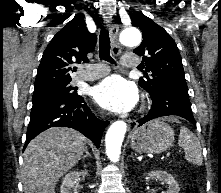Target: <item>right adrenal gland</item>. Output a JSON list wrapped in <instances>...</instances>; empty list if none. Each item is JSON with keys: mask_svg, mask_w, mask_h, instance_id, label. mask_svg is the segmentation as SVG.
Instances as JSON below:
<instances>
[{"mask_svg": "<svg viewBox=\"0 0 221 193\" xmlns=\"http://www.w3.org/2000/svg\"><path fill=\"white\" fill-rule=\"evenodd\" d=\"M87 157H92L91 154L88 151V147L85 146V155L82 157V160L84 161Z\"/></svg>", "mask_w": 221, "mask_h": 193, "instance_id": "obj_1", "label": "right adrenal gland"}]
</instances>
